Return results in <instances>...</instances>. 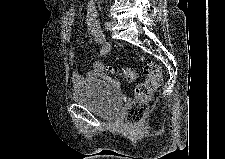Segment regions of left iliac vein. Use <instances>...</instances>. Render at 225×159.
<instances>
[{"label": "left iliac vein", "instance_id": "4c4485c4", "mask_svg": "<svg viewBox=\"0 0 225 159\" xmlns=\"http://www.w3.org/2000/svg\"><path fill=\"white\" fill-rule=\"evenodd\" d=\"M115 24H116V20H111L109 22L108 26H106V28L111 30Z\"/></svg>", "mask_w": 225, "mask_h": 159}]
</instances>
